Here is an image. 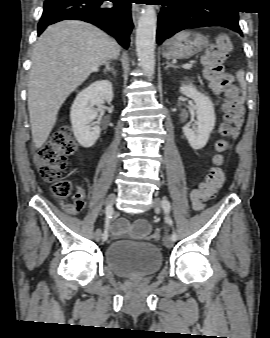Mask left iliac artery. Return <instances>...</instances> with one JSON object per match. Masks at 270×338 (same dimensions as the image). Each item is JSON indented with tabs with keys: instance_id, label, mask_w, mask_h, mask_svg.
<instances>
[{
	"instance_id": "left-iliac-artery-1",
	"label": "left iliac artery",
	"mask_w": 270,
	"mask_h": 338,
	"mask_svg": "<svg viewBox=\"0 0 270 338\" xmlns=\"http://www.w3.org/2000/svg\"><path fill=\"white\" fill-rule=\"evenodd\" d=\"M162 208H163L164 212L168 215V213L170 212V209H171V205H170V202L167 199L162 200ZM166 220L171 226H173V222L169 217H166ZM177 238H178V236H177L176 232L173 230V233L171 235L172 241H174V242L177 241Z\"/></svg>"
}]
</instances>
